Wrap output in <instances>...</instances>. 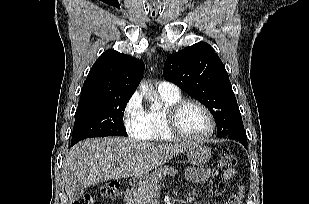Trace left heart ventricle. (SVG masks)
Segmentation results:
<instances>
[{"mask_svg": "<svg viewBox=\"0 0 309 204\" xmlns=\"http://www.w3.org/2000/svg\"><path fill=\"white\" fill-rule=\"evenodd\" d=\"M180 129L193 137H200L209 130V121L204 111L194 104L186 105L178 117Z\"/></svg>", "mask_w": 309, "mask_h": 204, "instance_id": "b2bd125f", "label": "left heart ventricle"}]
</instances>
